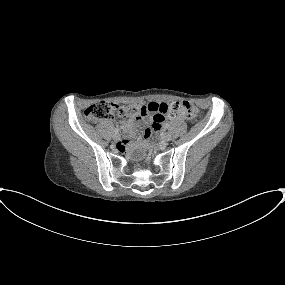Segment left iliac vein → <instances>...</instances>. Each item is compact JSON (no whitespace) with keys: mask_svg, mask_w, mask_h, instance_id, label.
Listing matches in <instances>:
<instances>
[{"mask_svg":"<svg viewBox=\"0 0 285 285\" xmlns=\"http://www.w3.org/2000/svg\"><path fill=\"white\" fill-rule=\"evenodd\" d=\"M171 138H172L171 134L167 132L163 135L162 140L163 142L167 143L171 140Z\"/></svg>","mask_w":285,"mask_h":285,"instance_id":"4c4485c4","label":"left iliac vein"}]
</instances>
